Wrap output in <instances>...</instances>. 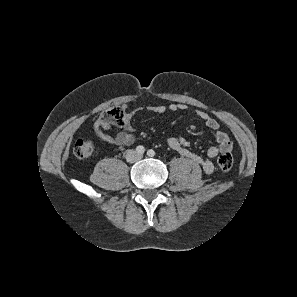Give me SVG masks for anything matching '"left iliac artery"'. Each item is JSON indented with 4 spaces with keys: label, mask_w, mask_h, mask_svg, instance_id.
<instances>
[{
    "label": "left iliac artery",
    "mask_w": 297,
    "mask_h": 297,
    "mask_svg": "<svg viewBox=\"0 0 297 297\" xmlns=\"http://www.w3.org/2000/svg\"><path fill=\"white\" fill-rule=\"evenodd\" d=\"M147 155H148L149 157H153V156H155V151L152 150V149H150V150H148Z\"/></svg>",
    "instance_id": "1"
}]
</instances>
